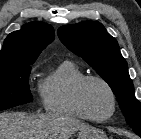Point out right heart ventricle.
<instances>
[{
	"instance_id": "right-heart-ventricle-1",
	"label": "right heart ventricle",
	"mask_w": 141,
	"mask_h": 139,
	"mask_svg": "<svg viewBox=\"0 0 141 139\" xmlns=\"http://www.w3.org/2000/svg\"><path fill=\"white\" fill-rule=\"evenodd\" d=\"M84 76L75 62H60L39 84L44 109L56 115L85 119L74 100V87Z\"/></svg>"
}]
</instances>
